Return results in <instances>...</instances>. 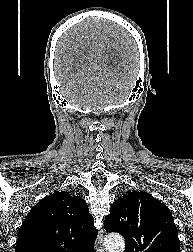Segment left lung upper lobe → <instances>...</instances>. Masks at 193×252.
<instances>
[{
    "instance_id": "5c2ea615",
    "label": "left lung upper lobe",
    "mask_w": 193,
    "mask_h": 252,
    "mask_svg": "<svg viewBox=\"0 0 193 252\" xmlns=\"http://www.w3.org/2000/svg\"><path fill=\"white\" fill-rule=\"evenodd\" d=\"M104 228L125 238V252H180L169 209L146 192L128 191L110 208Z\"/></svg>"
}]
</instances>
